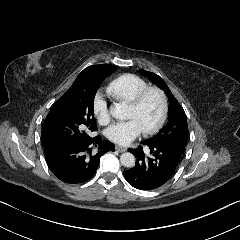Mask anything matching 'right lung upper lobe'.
<instances>
[{
  "label": "right lung upper lobe",
  "mask_w": 240,
  "mask_h": 240,
  "mask_svg": "<svg viewBox=\"0 0 240 240\" xmlns=\"http://www.w3.org/2000/svg\"><path fill=\"white\" fill-rule=\"evenodd\" d=\"M117 69V66L113 65H92L84 69L83 71H112L114 72Z\"/></svg>",
  "instance_id": "right-lung-upper-lobe-1"
}]
</instances>
